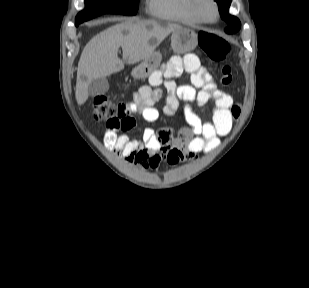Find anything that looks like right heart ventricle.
Listing matches in <instances>:
<instances>
[{
  "mask_svg": "<svg viewBox=\"0 0 309 288\" xmlns=\"http://www.w3.org/2000/svg\"><path fill=\"white\" fill-rule=\"evenodd\" d=\"M192 0H148V13L158 19L183 24H199L191 10Z\"/></svg>",
  "mask_w": 309,
  "mask_h": 288,
  "instance_id": "1",
  "label": "right heart ventricle"
}]
</instances>
